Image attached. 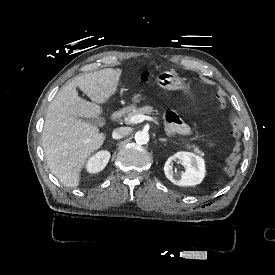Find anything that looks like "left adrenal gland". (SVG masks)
<instances>
[{"label": "left adrenal gland", "mask_w": 275, "mask_h": 275, "mask_svg": "<svg viewBox=\"0 0 275 275\" xmlns=\"http://www.w3.org/2000/svg\"><path fill=\"white\" fill-rule=\"evenodd\" d=\"M160 141H167L166 138H159Z\"/></svg>", "instance_id": "a2214340"}]
</instances>
